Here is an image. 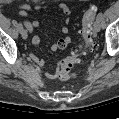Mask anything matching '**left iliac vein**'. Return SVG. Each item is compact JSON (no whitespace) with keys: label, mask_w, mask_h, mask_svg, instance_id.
<instances>
[{"label":"left iliac vein","mask_w":119,"mask_h":119,"mask_svg":"<svg viewBox=\"0 0 119 119\" xmlns=\"http://www.w3.org/2000/svg\"><path fill=\"white\" fill-rule=\"evenodd\" d=\"M94 32H99L100 31V20L96 19L93 25Z\"/></svg>","instance_id":"obj_1"}]
</instances>
